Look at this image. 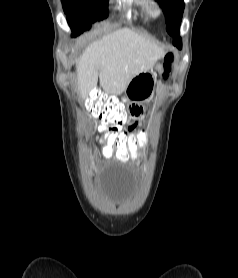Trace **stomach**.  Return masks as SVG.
<instances>
[{
	"label": "stomach",
	"instance_id": "obj_1",
	"mask_svg": "<svg viewBox=\"0 0 238 278\" xmlns=\"http://www.w3.org/2000/svg\"><path fill=\"white\" fill-rule=\"evenodd\" d=\"M155 85L156 77L153 72H141L135 75L129 82L124 91L125 97L131 101H146L153 95Z\"/></svg>",
	"mask_w": 238,
	"mask_h": 278
}]
</instances>
